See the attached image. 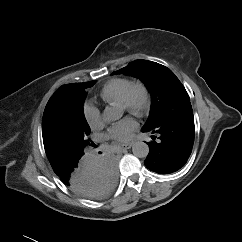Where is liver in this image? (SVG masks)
<instances>
[{
  "mask_svg": "<svg viewBox=\"0 0 242 242\" xmlns=\"http://www.w3.org/2000/svg\"><path fill=\"white\" fill-rule=\"evenodd\" d=\"M89 190L90 192H96L98 190H100L101 188V184L97 182L96 179H93L90 183H89ZM76 192H78L77 190H75Z\"/></svg>",
  "mask_w": 242,
  "mask_h": 242,
  "instance_id": "1",
  "label": "liver"
}]
</instances>
